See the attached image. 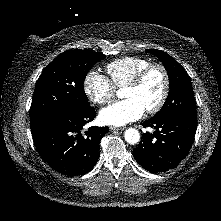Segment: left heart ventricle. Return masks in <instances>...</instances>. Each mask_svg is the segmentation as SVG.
I'll return each instance as SVG.
<instances>
[{"instance_id":"obj_1","label":"left heart ventricle","mask_w":221,"mask_h":221,"mask_svg":"<svg viewBox=\"0 0 221 221\" xmlns=\"http://www.w3.org/2000/svg\"><path fill=\"white\" fill-rule=\"evenodd\" d=\"M163 90V76L160 71H151L135 88H125L124 97L136 99L146 110L156 104Z\"/></svg>"}]
</instances>
